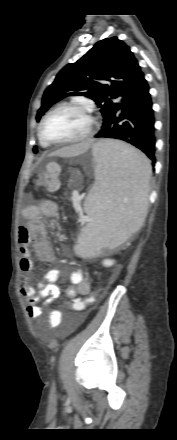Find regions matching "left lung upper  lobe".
<instances>
[{
	"label": "left lung upper lobe",
	"mask_w": 177,
	"mask_h": 440,
	"mask_svg": "<svg viewBox=\"0 0 177 440\" xmlns=\"http://www.w3.org/2000/svg\"><path fill=\"white\" fill-rule=\"evenodd\" d=\"M141 73L129 46L117 37L105 38L57 74L44 92L36 120L39 121L44 112L62 98L84 95L100 107L105 123L119 105L112 99L124 97ZM105 81H110L111 85ZM33 151L36 153L37 148Z\"/></svg>",
	"instance_id": "1"
}]
</instances>
